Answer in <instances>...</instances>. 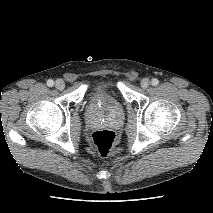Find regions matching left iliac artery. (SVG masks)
I'll list each match as a JSON object with an SVG mask.
<instances>
[{"instance_id": "1", "label": "left iliac artery", "mask_w": 213, "mask_h": 213, "mask_svg": "<svg viewBox=\"0 0 213 213\" xmlns=\"http://www.w3.org/2000/svg\"><path fill=\"white\" fill-rule=\"evenodd\" d=\"M158 83H159V81H158V79H156V78H153V79L151 80V84H152L153 86H157Z\"/></svg>"}]
</instances>
